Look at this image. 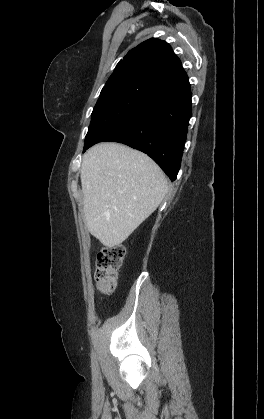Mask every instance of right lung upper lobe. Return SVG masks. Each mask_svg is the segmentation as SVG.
<instances>
[{
	"label": "right lung upper lobe",
	"instance_id": "obj_1",
	"mask_svg": "<svg viewBox=\"0 0 264 419\" xmlns=\"http://www.w3.org/2000/svg\"><path fill=\"white\" fill-rule=\"evenodd\" d=\"M115 85H129L153 97L190 87L180 59L167 42L155 38L131 49L119 61L104 88Z\"/></svg>",
	"mask_w": 264,
	"mask_h": 419
}]
</instances>
